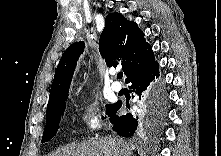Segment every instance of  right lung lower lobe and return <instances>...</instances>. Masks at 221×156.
<instances>
[{"label": "right lung lower lobe", "instance_id": "98d812e1", "mask_svg": "<svg viewBox=\"0 0 221 156\" xmlns=\"http://www.w3.org/2000/svg\"><path fill=\"white\" fill-rule=\"evenodd\" d=\"M159 75L158 62L154 60L148 67L135 72L126 79V83H130L131 91L139 95V99H142L145 104L147 120L154 124L163 120L167 105L165 86ZM121 106L122 102L118 101L114 111L109 116V120L114 125L113 130L118 135L131 137L139 126V116L132 111L126 114H117Z\"/></svg>", "mask_w": 221, "mask_h": 156}]
</instances>
